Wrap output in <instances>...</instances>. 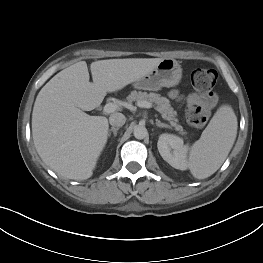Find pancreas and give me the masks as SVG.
<instances>
[{
    "label": "pancreas",
    "mask_w": 263,
    "mask_h": 263,
    "mask_svg": "<svg viewBox=\"0 0 263 263\" xmlns=\"http://www.w3.org/2000/svg\"><path fill=\"white\" fill-rule=\"evenodd\" d=\"M128 103H132L134 101H148L155 103L156 110L162 115V117L169 121L170 125L175 128L176 131H179L181 135H184L183 127L178 124V119L176 118L177 112L170 105L169 99L166 97H162L157 93H147L142 91H132L130 95L127 97Z\"/></svg>",
    "instance_id": "pancreas-1"
}]
</instances>
